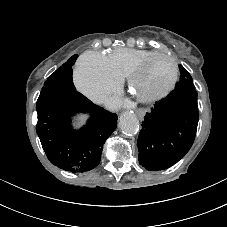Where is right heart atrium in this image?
Masks as SVG:
<instances>
[{"mask_svg": "<svg viewBox=\"0 0 227 227\" xmlns=\"http://www.w3.org/2000/svg\"><path fill=\"white\" fill-rule=\"evenodd\" d=\"M74 80L78 89L95 102H101L117 91L122 82L112 70L107 56L97 51H89L81 56Z\"/></svg>", "mask_w": 227, "mask_h": 227, "instance_id": "d8ad5b80", "label": "right heart atrium"}]
</instances>
